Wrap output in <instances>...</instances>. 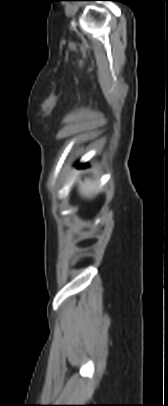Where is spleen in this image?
<instances>
[{
	"mask_svg": "<svg viewBox=\"0 0 168 406\" xmlns=\"http://www.w3.org/2000/svg\"><path fill=\"white\" fill-rule=\"evenodd\" d=\"M78 189L82 196L91 198L94 190L96 189V184L90 179H85L84 182H79Z\"/></svg>",
	"mask_w": 168,
	"mask_h": 406,
	"instance_id": "1",
	"label": "spleen"
}]
</instances>
